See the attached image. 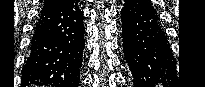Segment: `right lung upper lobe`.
I'll return each instance as SVG.
<instances>
[{
    "instance_id": "1",
    "label": "right lung upper lobe",
    "mask_w": 205,
    "mask_h": 87,
    "mask_svg": "<svg viewBox=\"0 0 205 87\" xmlns=\"http://www.w3.org/2000/svg\"><path fill=\"white\" fill-rule=\"evenodd\" d=\"M63 1L64 0H48V1L45 2L44 7H43L42 10L57 6L60 3H62Z\"/></svg>"
}]
</instances>
